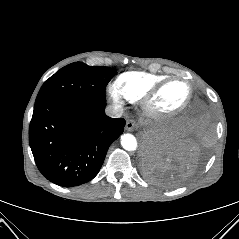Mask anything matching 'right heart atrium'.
Wrapping results in <instances>:
<instances>
[{"label": "right heart atrium", "mask_w": 239, "mask_h": 239, "mask_svg": "<svg viewBox=\"0 0 239 239\" xmlns=\"http://www.w3.org/2000/svg\"><path fill=\"white\" fill-rule=\"evenodd\" d=\"M108 93L114 104L119 107L123 106L125 100H127L115 84L109 86Z\"/></svg>", "instance_id": "obj_1"}]
</instances>
